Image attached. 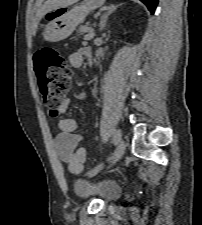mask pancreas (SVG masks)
Listing matches in <instances>:
<instances>
[{
  "label": "pancreas",
  "instance_id": "obj_1",
  "mask_svg": "<svg viewBox=\"0 0 202 225\" xmlns=\"http://www.w3.org/2000/svg\"><path fill=\"white\" fill-rule=\"evenodd\" d=\"M90 30V27L88 25H81L79 27L78 33L79 35H82L83 32H88Z\"/></svg>",
  "mask_w": 202,
  "mask_h": 225
}]
</instances>
